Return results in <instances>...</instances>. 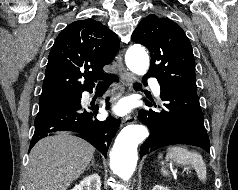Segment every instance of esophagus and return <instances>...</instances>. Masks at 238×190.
I'll list each match as a JSON object with an SVG mask.
<instances>
[{
    "instance_id": "obj_1",
    "label": "esophagus",
    "mask_w": 238,
    "mask_h": 190,
    "mask_svg": "<svg viewBox=\"0 0 238 190\" xmlns=\"http://www.w3.org/2000/svg\"><path fill=\"white\" fill-rule=\"evenodd\" d=\"M116 61H117V65H118V69L120 72V78H121L122 83L125 86H132L133 75L124 67L122 55L120 52L116 56ZM135 121H136V117L128 116L122 121V124L134 123Z\"/></svg>"
}]
</instances>
